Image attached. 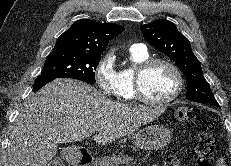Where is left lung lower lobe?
<instances>
[{
	"instance_id": "1",
	"label": "left lung lower lobe",
	"mask_w": 231,
	"mask_h": 166,
	"mask_svg": "<svg viewBox=\"0 0 231 166\" xmlns=\"http://www.w3.org/2000/svg\"><path fill=\"white\" fill-rule=\"evenodd\" d=\"M213 105L220 107L218 103L217 104H213Z\"/></svg>"
}]
</instances>
